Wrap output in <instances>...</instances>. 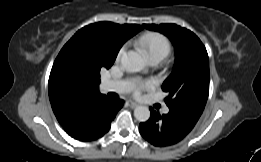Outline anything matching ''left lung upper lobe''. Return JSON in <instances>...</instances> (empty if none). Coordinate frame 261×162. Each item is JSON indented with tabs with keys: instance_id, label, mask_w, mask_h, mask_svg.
Returning <instances> with one entry per match:
<instances>
[{
	"instance_id": "obj_1",
	"label": "left lung upper lobe",
	"mask_w": 261,
	"mask_h": 162,
	"mask_svg": "<svg viewBox=\"0 0 261 162\" xmlns=\"http://www.w3.org/2000/svg\"><path fill=\"white\" fill-rule=\"evenodd\" d=\"M166 35L175 47L176 62L162 89L169 108L183 107L201 116L209 95V59L205 46L190 30L175 24H144Z\"/></svg>"
}]
</instances>
